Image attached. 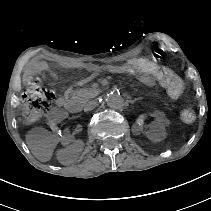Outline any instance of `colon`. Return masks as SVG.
<instances>
[{
    "instance_id": "1",
    "label": "colon",
    "mask_w": 211,
    "mask_h": 211,
    "mask_svg": "<svg viewBox=\"0 0 211 211\" xmlns=\"http://www.w3.org/2000/svg\"><path fill=\"white\" fill-rule=\"evenodd\" d=\"M130 72L140 75H151L156 77L161 84L166 86L173 96L180 95L182 85L177 77L167 68L160 66L145 58L133 59L129 62ZM55 99L54 92L44 86L37 76H34L31 85L22 98L21 119L26 125L33 124L41 119L48 111ZM181 119L186 124L195 120V112L192 109H184Z\"/></svg>"
}]
</instances>
